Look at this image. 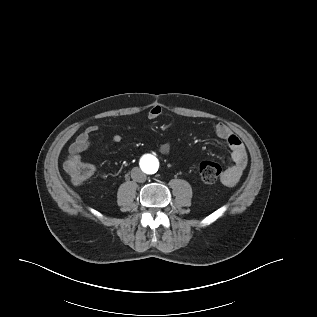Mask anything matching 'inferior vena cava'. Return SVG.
<instances>
[{
	"instance_id": "602c4592",
	"label": "inferior vena cava",
	"mask_w": 317,
	"mask_h": 317,
	"mask_svg": "<svg viewBox=\"0 0 317 317\" xmlns=\"http://www.w3.org/2000/svg\"><path fill=\"white\" fill-rule=\"evenodd\" d=\"M131 177L136 182H144L147 178L146 174L138 167H134L131 170Z\"/></svg>"
}]
</instances>
